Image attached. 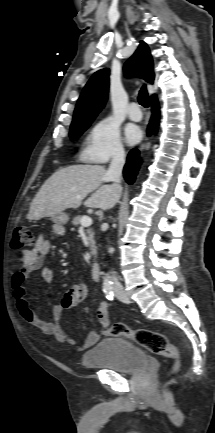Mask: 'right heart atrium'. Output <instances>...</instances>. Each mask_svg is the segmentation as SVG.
Returning <instances> with one entry per match:
<instances>
[{"mask_svg":"<svg viewBox=\"0 0 215 433\" xmlns=\"http://www.w3.org/2000/svg\"><path fill=\"white\" fill-rule=\"evenodd\" d=\"M124 145L118 124L110 117H104L89 130L82 150V159L90 163H106L123 157Z\"/></svg>","mask_w":215,"mask_h":433,"instance_id":"right-heart-atrium-1","label":"right heart atrium"}]
</instances>
